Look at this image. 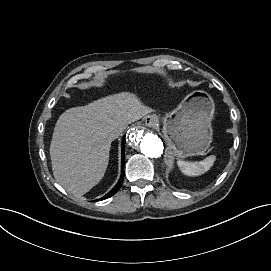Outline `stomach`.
Segmentation results:
<instances>
[{"label": "stomach", "instance_id": "stomach-1", "mask_svg": "<svg viewBox=\"0 0 271 271\" xmlns=\"http://www.w3.org/2000/svg\"><path fill=\"white\" fill-rule=\"evenodd\" d=\"M214 111V101L205 91L187 95L162 118L167 150L177 158L203 154L212 142Z\"/></svg>", "mask_w": 271, "mask_h": 271}]
</instances>
